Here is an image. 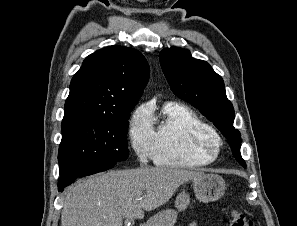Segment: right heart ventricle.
<instances>
[{
  "label": "right heart ventricle",
  "mask_w": 297,
  "mask_h": 226,
  "mask_svg": "<svg viewBox=\"0 0 297 226\" xmlns=\"http://www.w3.org/2000/svg\"><path fill=\"white\" fill-rule=\"evenodd\" d=\"M154 124V162L173 168H197L216 159V153L201 149L200 141L217 136L214 128L190 107L165 103L157 115L151 112Z\"/></svg>",
  "instance_id": "1"
}]
</instances>
